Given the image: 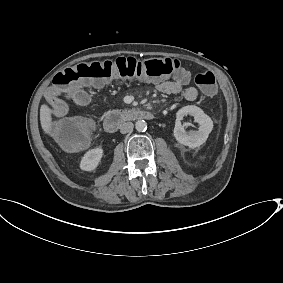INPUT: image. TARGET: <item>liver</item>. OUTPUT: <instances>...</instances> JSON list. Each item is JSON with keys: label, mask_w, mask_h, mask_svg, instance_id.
<instances>
[{"label": "liver", "mask_w": 283, "mask_h": 283, "mask_svg": "<svg viewBox=\"0 0 283 283\" xmlns=\"http://www.w3.org/2000/svg\"><path fill=\"white\" fill-rule=\"evenodd\" d=\"M40 122L45 135H50L53 129V111L47 103H43L40 108Z\"/></svg>", "instance_id": "6515ba94"}]
</instances>
